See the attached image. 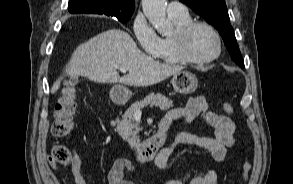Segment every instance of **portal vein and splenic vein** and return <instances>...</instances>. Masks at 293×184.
I'll return each instance as SVG.
<instances>
[{
    "instance_id": "obj_1",
    "label": "portal vein and splenic vein",
    "mask_w": 293,
    "mask_h": 184,
    "mask_svg": "<svg viewBox=\"0 0 293 184\" xmlns=\"http://www.w3.org/2000/svg\"><path fill=\"white\" fill-rule=\"evenodd\" d=\"M119 70H120L122 73H126V72H127V69L124 68V67H120ZM137 113H138V114H141V111L138 110Z\"/></svg>"
}]
</instances>
